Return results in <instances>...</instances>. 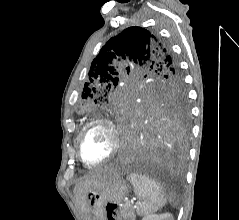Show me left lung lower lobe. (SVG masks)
Wrapping results in <instances>:
<instances>
[{"label":"left lung lower lobe","instance_id":"0a47b994","mask_svg":"<svg viewBox=\"0 0 239 220\" xmlns=\"http://www.w3.org/2000/svg\"><path fill=\"white\" fill-rule=\"evenodd\" d=\"M125 134L123 160L129 164L178 165L186 157L188 112L134 110L109 116Z\"/></svg>","mask_w":239,"mask_h":220}]
</instances>
